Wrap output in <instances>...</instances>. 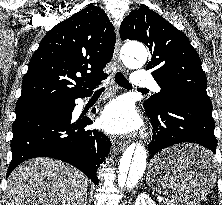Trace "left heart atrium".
<instances>
[{"label":"left heart atrium","mask_w":222,"mask_h":205,"mask_svg":"<svg viewBox=\"0 0 222 205\" xmlns=\"http://www.w3.org/2000/svg\"><path fill=\"white\" fill-rule=\"evenodd\" d=\"M100 124L110 133L127 134L139 128L140 119L129 101L117 99L105 107Z\"/></svg>","instance_id":"1"}]
</instances>
